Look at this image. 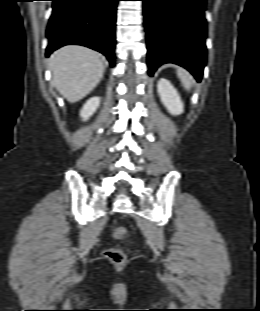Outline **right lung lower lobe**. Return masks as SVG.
<instances>
[{"instance_id":"obj_1","label":"right lung lower lobe","mask_w":260,"mask_h":311,"mask_svg":"<svg viewBox=\"0 0 260 311\" xmlns=\"http://www.w3.org/2000/svg\"><path fill=\"white\" fill-rule=\"evenodd\" d=\"M47 29L48 57L68 44L103 53L114 66L116 7L119 0H52Z\"/></svg>"}]
</instances>
